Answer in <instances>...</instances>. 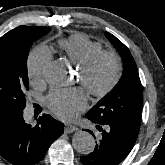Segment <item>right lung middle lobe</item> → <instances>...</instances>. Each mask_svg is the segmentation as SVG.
I'll return each instance as SVG.
<instances>
[{"instance_id":"1","label":"right lung middle lobe","mask_w":165,"mask_h":165,"mask_svg":"<svg viewBox=\"0 0 165 165\" xmlns=\"http://www.w3.org/2000/svg\"><path fill=\"white\" fill-rule=\"evenodd\" d=\"M50 28L19 26L0 38V116L23 112L29 90L27 57L31 45Z\"/></svg>"}]
</instances>
